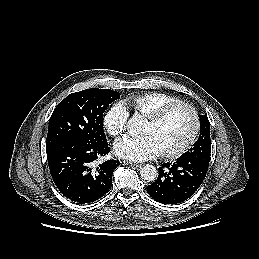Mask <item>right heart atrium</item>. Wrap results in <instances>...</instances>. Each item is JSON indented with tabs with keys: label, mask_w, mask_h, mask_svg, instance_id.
<instances>
[{
	"label": "right heart atrium",
	"mask_w": 259,
	"mask_h": 259,
	"mask_svg": "<svg viewBox=\"0 0 259 259\" xmlns=\"http://www.w3.org/2000/svg\"><path fill=\"white\" fill-rule=\"evenodd\" d=\"M129 112L121 101L113 103L103 116V125L106 131L113 137L121 136L127 126Z\"/></svg>",
	"instance_id": "1"
}]
</instances>
